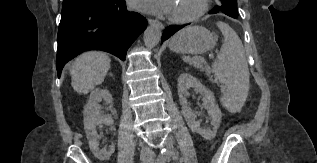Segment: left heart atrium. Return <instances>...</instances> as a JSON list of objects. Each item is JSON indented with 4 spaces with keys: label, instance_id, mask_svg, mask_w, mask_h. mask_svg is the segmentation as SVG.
Wrapping results in <instances>:
<instances>
[{
    "label": "left heart atrium",
    "instance_id": "obj_1",
    "mask_svg": "<svg viewBox=\"0 0 317 163\" xmlns=\"http://www.w3.org/2000/svg\"><path fill=\"white\" fill-rule=\"evenodd\" d=\"M173 2L174 0H131L136 9L158 15L170 14Z\"/></svg>",
    "mask_w": 317,
    "mask_h": 163
}]
</instances>
